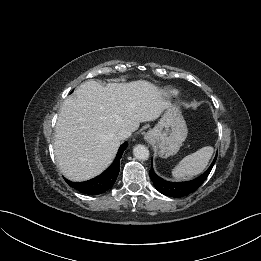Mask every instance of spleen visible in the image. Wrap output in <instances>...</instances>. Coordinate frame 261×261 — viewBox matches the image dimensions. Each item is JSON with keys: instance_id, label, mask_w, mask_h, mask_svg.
I'll use <instances>...</instances> for the list:
<instances>
[{"instance_id": "3e777b00", "label": "spleen", "mask_w": 261, "mask_h": 261, "mask_svg": "<svg viewBox=\"0 0 261 261\" xmlns=\"http://www.w3.org/2000/svg\"><path fill=\"white\" fill-rule=\"evenodd\" d=\"M212 154L213 147L206 146L184 157L173 169V176L178 180H183L200 174L206 168Z\"/></svg>"}]
</instances>
